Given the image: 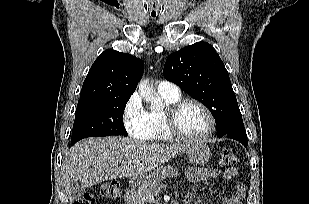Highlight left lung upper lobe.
Returning a JSON list of instances; mask_svg holds the SVG:
<instances>
[{
    "label": "left lung upper lobe",
    "instance_id": "obj_1",
    "mask_svg": "<svg viewBox=\"0 0 309 204\" xmlns=\"http://www.w3.org/2000/svg\"><path fill=\"white\" fill-rule=\"evenodd\" d=\"M163 73L167 80L210 110L215 118L217 136L244 128L228 72L209 43L197 42L171 54Z\"/></svg>",
    "mask_w": 309,
    "mask_h": 204
}]
</instances>
